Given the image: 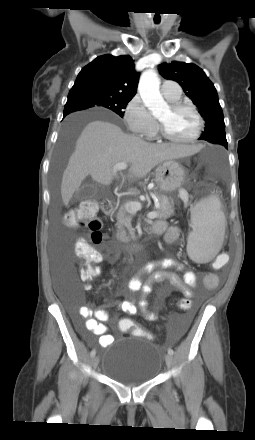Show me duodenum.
<instances>
[{
    "label": "duodenum",
    "instance_id": "410a0bca",
    "mask_svg": "<svg viewBox=\"0 0 255 440\" xmlns=\"http://www.w3.org/2000/svg\"><path fill=\"white\" fill-rule=\"evenodd\" d=\"M102 211L106 214V215H111L114 212V204L112 201H103L102 202ZM162 231L161 228L157 227V226H152L149 228V234L151 236H157L158 234H160ZM144 246L143 243L140 244H130L127 246V248L131 251H137L139 249H141Z\"/></svg>",
    "mask_w": 255,
    "mask_h": 440
}]
</instances>
